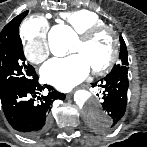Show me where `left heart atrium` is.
I'll return each mask as SVG.
<instances>
[{"mask_svg": "<svg viewBox=\"0 0 147 147\" xmlns=\"http://www.w3.org/2000/svg\"><path fill=\"white\" fill-rule=\"evenodd\" d=\"M90 71L86 59L75 54L65 58H54L41 69L42 79L60 90H69L83 81Z\"/></svg>", "mask_w": 147, "mask_h": 147, "instance_id": "39dd6f15", "label": "left heart atrium"}]
</instances>
